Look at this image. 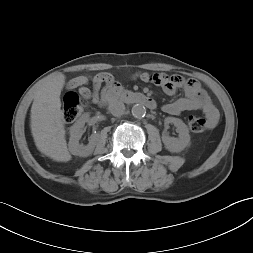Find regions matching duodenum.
Returning <instances> with one entry per match:
<instances>
[{
  "instance_id": "obj_1",
  "label": "duodenum",
  "mask_w": 253,
  "mask_h": 253,
  "mask_svg": "<svg viewBox=\"0 0 253 253\" xmlns=\"http://www.w3.org/2000/svg\"><path fill=\"white\" fill-rule=\"evenodd\" d=\"M115 100H120L127 104H141L149 109H155L157 106L153 98L142 93L124 90L119 84L111 83L103 90L99 106H105Z\"/></svg>"
}]
</instances>
